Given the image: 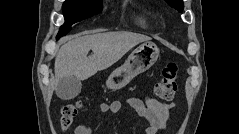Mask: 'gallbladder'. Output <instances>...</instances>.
<instances>
[{
	"instance_id": "bac80fb5",
	"label": "gallbladder",
	"mask_w": 239,
	"mask_h": 134,
	"mask_svg": "<svg viewBox=\"0 0 239 134\" xmlns=\"http://www.w3.org/2000/svg\"><path fill=\"white\" fill-rule=\"evenodd\" d=\"M82 88L81 80L74 76L62 78L56 86V94L63 100L75 98Z\"/></svg>"
}]
</instances>
